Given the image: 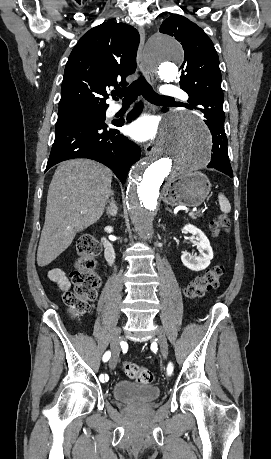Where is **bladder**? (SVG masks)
<instances>
[{
  "label": "bladder",
  "mask_w": 271,
  "mask_h": 459,
  "mask_svg": "<svg viewBox=\"0 0 271 459\" xmlns=\"http://www.w3.org/2000/svg\"><path fill=\"white\" fill-rule=\"evenodd\" d=\"M160 395V388L154 385L120 381L113 387V397L123 402H150Z\"/></svg>",
  "instance_id": "bladder-1"
}]
</instances>
